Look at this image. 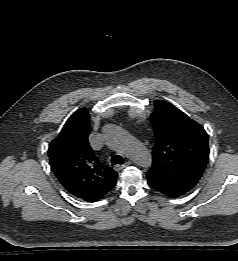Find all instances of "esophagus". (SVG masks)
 I'll use <instances>...</instances> for the list:
<instances>
[{
	"label": "esophagus",
	"instance_id": "1",
	"mask_svg": "<svg viewBox=\"0 0 238 261\" xmlns=\"http://www.w3.org/2000/svg\"><path fill=\"white\" fill-rule=\"evenodd\" d=\"M130 164H131V162H130V161H127V162H125L123 165H116V166L114 167V169H115L116 171H120V170H122V169L128 167Z\"/></svg>",
	"mask_w": 238,
	"mask_h": 261
}]
</instances>
